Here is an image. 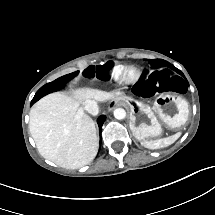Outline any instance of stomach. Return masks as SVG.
Instances as JSON below:
<instances>
[{
    "label": "stomach",
    "instance_id": "obj_1",
    "mask_svg": "<svg viewBox=\"0 0 215 215\" xmlns=\"http://www.w3.org/2000/svg\"><path fill=\"white\" fill-rule=\"evenodd\" d=\"M117 101L129 109L130 130L140 141H152L164 131L177 132L175 135H179L189 118L187 101L177 95L162 94L152 106L125 95L117 98Z\"/></svg>",
    "mask_w": 215,
    "mask_h": 215
}]
</instances>
